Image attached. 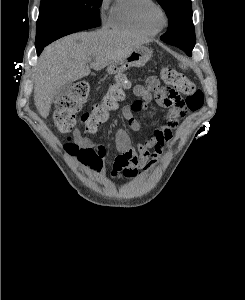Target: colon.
I'll return each mask as SVG.
<instances>
[{
  "label": "colon",
  "mask_w": 245,
  "mask_h": 300,
  "mask_svg": "<svg viewBox=\"0 0 245 300\" xmlns=\"http://www.w3.org/2000/svg\"><path fill=\"white\" fill-rule=\"evenodd\" d=\"M161 77L168 88L175 94L186 96V106L190 111H198L204 103V94L188 77L181 72L164 67ZM129 86V81L125 75H120L111 83L100 101L96 103L90 112L83 114L81 123L84 127L85 135L93 134L98 126L106 122L111 112L117 109L118 103L124 98V90ZM90 87L85 81L74 83L71 91L61 98L57 103L54 114V121L57 129L61 133H69L76 124V114L89 96ZM143 104L140 100L132 102V107L140 110ZM65 149L70 154L77 156L82 162L97 167L95 152L90 148L81 147L71 139L65 144Z\"/></svg>",
  "instance_id": "1"
}]
</instances>
